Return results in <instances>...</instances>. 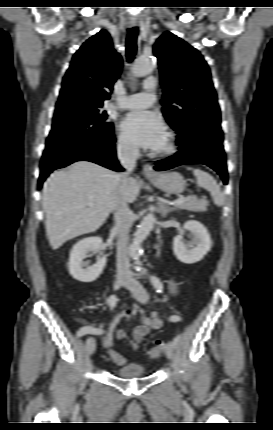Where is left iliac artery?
I'll use <instances>...</instances> for the list:
<instances>
[{
    "mask_svg": "<svg viewBox=\"0 0 273 430\" xmlns=\"http://www.w3.org/2000/svg\"><path fill=\"white\" fill-rule=\"evenodd\" d=\"M150 280H151L152 285L156 289V291L158 293H161L163 290V283L161 282V280L156 276H151ZM169 319H170V321H177V320H182V317L171 316ZM181 332H184V329H181ZM179 338H180V336H177L174 338L173 346L177 345Z\"/></svg>",
    "mask_w": 273,
    "mask_h": 430,
    "instance_id": "1",
    "label": "left iliac artery"
}]
</instances>
